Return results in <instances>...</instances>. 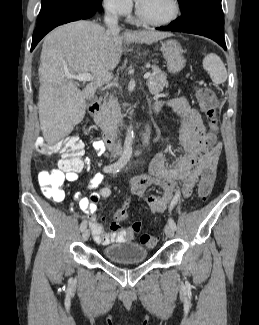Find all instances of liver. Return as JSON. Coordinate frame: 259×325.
<instances>
[{"label": "liver", "mask_w": 259, "mask_h": 325, "mask_svg": "<svg viewBox=\"0 0 259 325\" xmlns=\"http://www.w3.org/2000/svg\"><path fill=\"white\" fill-rule=\"evenodd\" d=\"M171 33L105 30L91 21H75L49 33L42 45L39 66L38 111L40 128L48 144L67 137L86 111V100L109 83L118 65L123 42L152 44ZM90 73L94 79L81 91L68 75Z\"/></svg>", "instance_id": "1"}]
</instances>
